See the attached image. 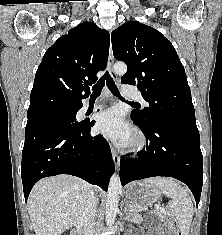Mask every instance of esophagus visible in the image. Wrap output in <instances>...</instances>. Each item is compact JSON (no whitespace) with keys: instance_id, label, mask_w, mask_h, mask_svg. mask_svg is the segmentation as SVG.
Masks as SVG:
<instances>
[{"instance_id":"1","label":"esophagus","mask_w":222,"mask_h":235,"mask_svg":"<svg viewBox=\"0 0 222 235\" xmlns=\"http://www.w3.org/2000/svg\"><path fill=\"white\" fill-rule=\"evenodd\" d=\"M113 63H114V56H113V51H112V45L110 44L109 57H108V70H109L111 77L114 80H117V75L115 74L113 70ZM111 154H112V159L114 161V164L116 165V167H118L120 163V157L114 147H111Z\"/></svg>"}]
</instances>
